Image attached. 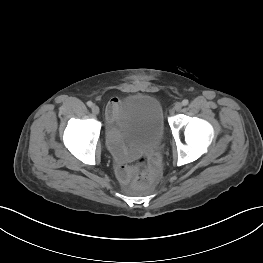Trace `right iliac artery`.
Here are the masks:
<instances>
[{"label":"right iliac artery","instance_id":"right-iliac-artery-1","mask_svg":"<svg viewBox=\"0 0 263 263\" xmlns=\"http://www.w3.org/2000/svg\"><path fill=\"white\" fill-rule=\"evenodd\" d=\"M87 105H88L89 107H92V106H93V103H92L91 101H88V102H87Z\"/></svg>","mask_w":263,"mask_h":263}]
</instances>
